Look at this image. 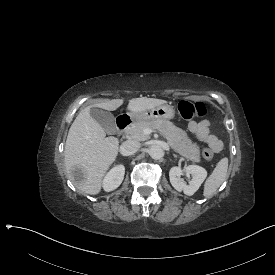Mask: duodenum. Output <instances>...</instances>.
Here are the masks:
<instances>
[{"instance_id": "1", "label": "duodenum", "mask_w": 275, "mask_h": 275, "mask_svg": "<svg viewBox=\"0 0 275 275\" xmlns=\"http://www.w3.org/2000/svg\"><path fill=\"white\" fill-rule=\"evenodd\" d=\"M132 118L130 115L124 114L117 118L116 127L119 133H123L130 126Z\"/></svg>"}]
</instances>
